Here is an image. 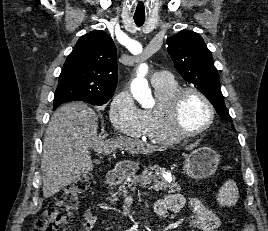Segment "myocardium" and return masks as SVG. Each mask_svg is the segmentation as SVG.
Masks as SVG:
<instances>
[{"label":"myocardium","instance_id":"f54148a6","mask_svg":"<svg viewBox=\"0 0 268 231\" xmlns=\"http://www.w3.org/2000/svg\"><path fill=\"white\" fill-rule=\"evenodd\" d=\"M188 93L197 95L207 105L210 114L208 121L193 131H183L179 127L180 103L183 97ZM166 118L168 129L173 136L178 139L191 138L202 134L213 124L215 120V108L211 100L199 89L194 87H181L168 100Z\"/></svg>","mask_w":268,"mask_h":231}]
</instances>
